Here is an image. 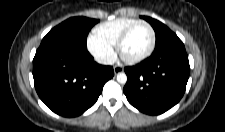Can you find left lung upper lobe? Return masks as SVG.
<instances>
[{
  "label": "left lung upper lobe",
  "instance_id": "5c2ea615",
  "mask_svg": "<svg viewBox=\"0 0 225 132\" xmlns=\"http://www.w3.org/2000/svg\"><path fill=\"white\" fill-rule=\"evenodd\" d=\"M141 18L148 21L156 34V45L153 53L161 51L171 46L181 45L182 41L166 25L153 18L142 16Z\"/></svg>",
  "mask_w": 225,
  "mask_h": 132
}]
</instances>
